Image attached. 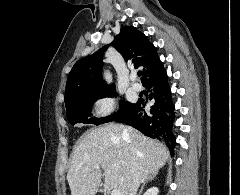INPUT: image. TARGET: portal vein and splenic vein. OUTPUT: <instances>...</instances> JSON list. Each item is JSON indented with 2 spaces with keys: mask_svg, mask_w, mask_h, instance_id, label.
Wrapping results in <instances>:
<instances>
[{
  "mask_svg": "<svg viewBox=\"0 0 240 195\" xmlns=\"http://www.w3.org/2000/svg\"><path fill=\"white\" fill-rule=\"evenodd\" d=\"M95 169H99V167H95ZM86 177V175H84ZM111 195H121L119 189H112Z\"/></svg>",
  "mask_w": 240,
  "mask_h": 195,
  "instance_id": "portal-vein-and-splenic-vein-1",
  "label": "portal vein and splenic vein"
}]
</instances>
